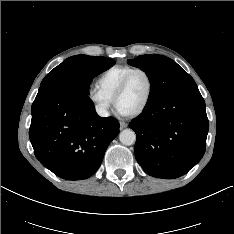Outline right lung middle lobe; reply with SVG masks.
<instances>
[{
    "mask_svg": "<svg viewBox=\"0 0 234 234\" xmlns=\"http://www.w3.org/2000/svg\"><path fill=\"white\" fill-rule=\"evenodd\" d=\"M114 64V60L102 56H72L48 73L42 80L40 87L68 80L84 95H88V87L92 79Z\"/></svg>",
    "mask_w": 234,
    "mask_h": 234,
    "instance_id": "dd1d6c3e",
    "label": "right lung middle lobe"
}]
</instances>
